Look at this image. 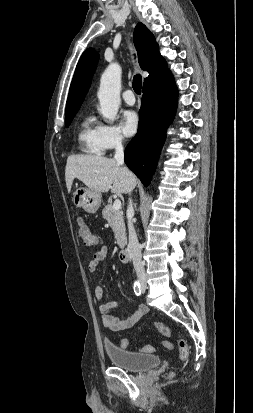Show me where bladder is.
I'll return each mask as SVG.
<instances>
[{"instance_id": "obj_1", "label": "bladder", "mask_w": 253, "mask_h": 413, "mask_svg": "<svg viewBox=\"0 0 253 413\" xmlns=\"http://www.w3.org/2000/svg\"><path fill=\"white\" fill-rule=\"evenodd\" d=\"M104 350L114 366L128 371L149 370L161 362L158 355L133 352L111 342H105Z\"/></svg>"}]
</instances>
